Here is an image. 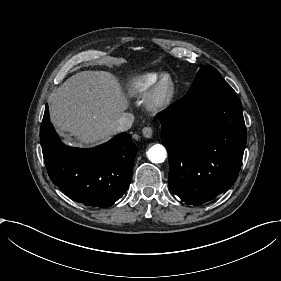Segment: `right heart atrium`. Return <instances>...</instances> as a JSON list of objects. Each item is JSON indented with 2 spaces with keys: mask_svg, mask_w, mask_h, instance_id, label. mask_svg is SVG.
<instances>
[{
  "mask_svg": "<svg viewBox=\"0 0 281 281\" xmlns=\"http://www.w3.org/2000/svg\"><path fill=\"white\" fill-rule=\"evenodd\" d=\"M109 98H110V101H111V104H112V110H111V113H110V118L115 119L122 113L123 104L114 95H110Z\"/></svg>",
  "mask_w": 281,
  "mask_h": 281,
  "instance_id": "obj_1",
  "label": "right heart atrium"
}]
</instances>
